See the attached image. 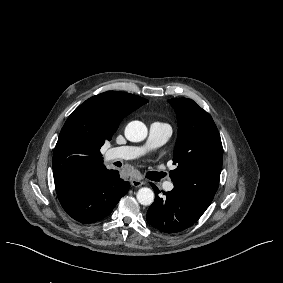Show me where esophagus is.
<instances>
[{
  "mask_svg": "<svg viewBox=\"0 0 283 283\" xmlns=\"http://www.w3.org/2000/svg\"><path fill=\"white\" fill-rule=\"evenodd\" d=\"M131 185H133L134 187H140V186L144 185V182L141 181V180L132 179Z\"/></svg>",
  "mask_w": 283,
  "mask_h": 283,
  "instance_id": "34e87169",
  "label": "esophagus"
}]
</instances>
